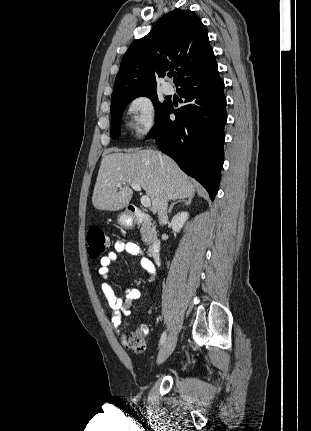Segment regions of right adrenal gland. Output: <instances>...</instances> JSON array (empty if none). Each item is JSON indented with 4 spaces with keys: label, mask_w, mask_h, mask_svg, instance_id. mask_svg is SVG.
<instances>
[{
    "label": "right adrenal gland",
    "mask_w": 311,
    "mask_h": 431,
    "mask_svg": "<svg viewBox=\"0 0 311 431\" xmlns=\"http://www.w3.org/2000/svg\"><path fill=\"white\" fill-rule=\"evenodd\" d=\"M179 202H181V204H183V206H191V198H187V200H185V198H178V200H174V202H172L169 210H168V214H171L172 210H173V206H175V204H179Z\"/></svg>",
    "instance_id": "1"
}]
</instances>
